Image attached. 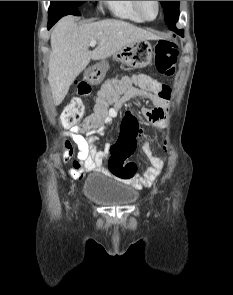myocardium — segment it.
Segmentation results:
<instances>
[{"label": "myocardium", "instance_id": "f54148a6", "mask_svg": "<svg viewBox=\"0 0 233 295\" xmlns=\"http://www.w3.org/2000/svg\"><path fill=\"white\" fill-rule=\"evenodd\" d=\"M155 2H156V5H157V14H156V16H155L154 18H152V19L147 18V17L143 14V12H142V10H141V6H140V1H133V5H134V8H135L136 12L139 14V16H140L144 21H148V22H150V21H154V20H156L157 17L159 16V14H160V11H161V3H160V1H155Z\"/></svg>", "mask_w": 233, "mask_h": 295}]
</instances>
